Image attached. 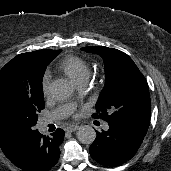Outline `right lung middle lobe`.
<instances>
[{"instance_id": "right-lung-middle-lobe-1", "label": "right lung middle lobe", "mask_w": 171, "mask_h": 171, "mask_svg": "<svg viewBox=\"0 0 171 171\" xmlns=\"http://www.w3.org/2000/svg\"><path fill=\"white\" fill-rule=\"evenodd\" d=\"M49 58L17 55L0 70V147L18 153L38 133V113L44 109L42 78Z\"/></svg>"}]
</instances>
